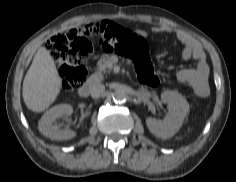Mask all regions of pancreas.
<instances>
[{
	"instance_id": "1",
	"label": "pancreas",
	"mask_w": 236,
	"mask_h": 182,
	"mask_svg": "<svg viewBox=\"0 0 236 182\" xmlns=\"http://www.w3.org/2000/svg\"><path fill=\"white\" fill-rule=\"evenodd\" d=\"M98 67L101 70H106V69H112L113 67V63L111 62L109 57H101L98 61ZM95 75L92 76V78H94Z\"/></svg>"
}]
</instances>
